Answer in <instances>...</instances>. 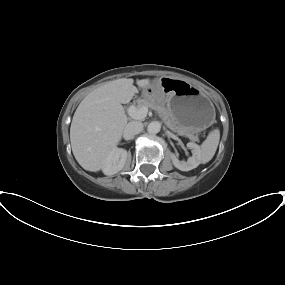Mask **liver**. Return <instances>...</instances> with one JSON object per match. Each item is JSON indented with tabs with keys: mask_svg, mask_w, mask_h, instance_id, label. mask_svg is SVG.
I'll return each instance as SVG.
<instances>
[{
	"mask_svg": "<svg viewBox=\"0 0 285 285\" xmlns=\"http://www.w3.org/2000/svg\"><path fill=\"white\" fill-rule=\"evenodd\" d=\"M132 78L109 81L90 92L76 109L71 127L72 152L82 168L97 172L122 138L128 118L122 104H127L138 89ZM140 88L149 79L136 81Z\"/></svg>",
	"mask_w": 285,
	"mask_h": 285,
	"instance_id": "liver-1",
	"label": "liver"
}]
</instances>
